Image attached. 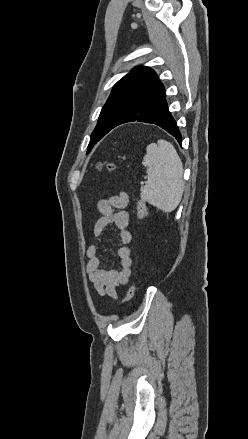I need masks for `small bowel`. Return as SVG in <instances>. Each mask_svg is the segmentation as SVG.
I'll list each match as a JSON object with an SVG mask.
<instances>
[{
  "label": "small bowel",
  "instance_id": "1",
  "mask_svg": "<svg viewBox=\"0 0 248 439\" xmlns=\"http://www.w3.org/2000/svg\"><path fill=\"white\" fill-rule=\"evenodd\" d=\"M128 203L129 197L125 192L99 200L97 209L102 216L96 221L93 228L94 236L101 239L109 226H115L121 243V246L117 249L120 268L117 270L103 269L98 246L91 245L86 251L88 258L86 272L89 282L94 286L98 295L107 296L111 299H117L118 288L126 285L131 275L133 261L131 250L127 245L131 242L132 236L128 229L129 215L125 211Z\"/></svg>",
  "mask_w": 248,
  "mask_h": 439
}]
</instances>
